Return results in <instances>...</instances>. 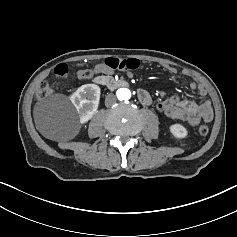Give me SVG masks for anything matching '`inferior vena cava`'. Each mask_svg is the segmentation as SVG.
<instances>
[{
  "mask_svg": "<svg viewBox=\"0 0 237 237\" xmlns=\"http://www.w3.org/2000/svg\"><path fill=\"white\" fill-rule=\"evenodd\" d=\"M117 101V97L114 94H108L105 99L106 106H110Z\"/></svg>",
  "mask_w": 237,
  "mask_h": 237,
  "instance_id": "inferior-vena-cava-1",
  "label": "inferior vena cava"
}]
</instances>
